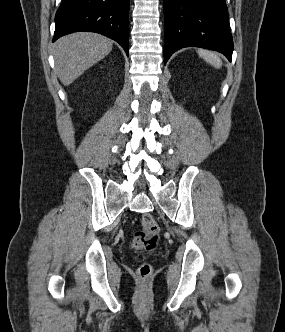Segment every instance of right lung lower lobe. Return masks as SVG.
I'll list each match as a JSON object with an SVG mask.
<instances>
[{
  "label": "right lung lower lobe",
  "instance_id": "obj_1",
  "mask_svg": "<svg viewBox=\"0 0 285 332\" xmlns=\"http://www.w3.org/2000/svg\"><path fill=\"white\" fill-rule=\"evenodd\" d=\"M130 0H63L55 15L53 41L78 31H91L117 41L128 55Z\"/></svg>",
  "mask_w": 285,
  "mask_h": 332
}]
</instances>
